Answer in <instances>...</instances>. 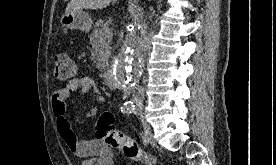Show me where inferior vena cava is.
<instances>
[{"label": "inferior vena cava", "mask_w": 276, "mask_h": 165, "mask_svg": "<svg viewBox=\"0 0 276 165\" xmlns=\"http://www.w3.org/2000/svg\"><path fill=\"white\" fill-rule=\"evenodd\" d=\"M133 101L138 103L143 100V88L140 85H136L133 89Z\"/></svg>", "instance_id": "602c4592"}]
</instances>
